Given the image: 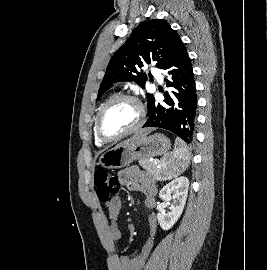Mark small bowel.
Segmentation results:
<instances>
[{"mask_svg":"<svg viewBox=\"0 0 267 270\" xmlns=\"http://www.w3.org/2000/svg\"><path fill=\"white\" fill-rule=\"evenodd\" d=\"M121 182L129 189L139 191L145 196L144 204L147 208H154L156 205V187L152 180L145 175L138 167L132 166L119 173ZM122 206L119 197H113L106 203L108 210V232L111 241H119L122 233L118 224V215ZM149 237L142 245L135 257H115V265L118 270H142L146 260L153 248L154 237L157 230L156 218L153 214L148 216Z\"/></svg>","mask_w":267,"mask_h":270,"instance_id":"obj_1","label":"small bowel"}]
</instances>
